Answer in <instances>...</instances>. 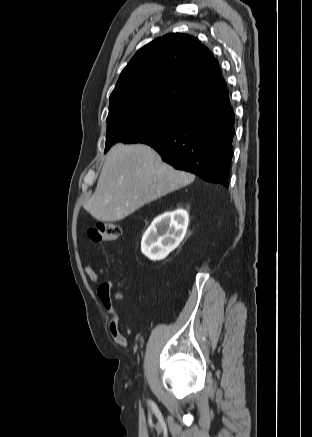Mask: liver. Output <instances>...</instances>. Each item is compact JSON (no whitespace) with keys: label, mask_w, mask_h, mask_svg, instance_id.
Wrapping results in <instances>:
<instances>
[{"label":"liver","mask_w":312,"mask_h":437,"mask_svg":"<svg viewBox=\"0 0 312 437\" xmlns=\"http://www.w3.org/2000/svg\"><path fill=\"white\" fill-rule=\"evenodd\" d=\"M145 144H115L107 153L97 187L84 208L95 219L116 222L142 206L192 183Z\"/></svg>","instance_id":"1"}]
</instances>
